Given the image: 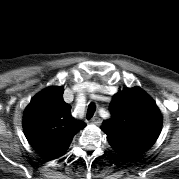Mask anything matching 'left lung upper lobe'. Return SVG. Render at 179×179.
<instances>
[{
	"label": "left lung upper lobe",
	"mask_w": 179,
	"mask_h": 179,
	"mask_svg": "<svg viewBox=\"0 0 179 179\" xmlns=\"http://www.w3.org/2000/svg\"><path fill=\"white\" fill-rule=\"evenodd\" d=\"M111 119L102 130L111 146L150 148L162 128V117L154 102L137 88L125 89L116 95L111 106Z\"/></svg>",
	"instance_id": "left-lung-upper-lobe-1"
}]
</instances>
